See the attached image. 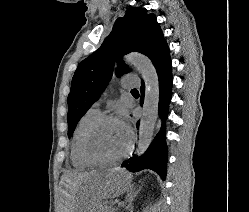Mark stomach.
I'll return each instance as SVG.
<instances>
[{
    "instance_id": "1",
    "label": "stomach",
    "mask_w": 249,
    "mask_h": 212,
    "mask_svg": "<svg viewBox=\"0 0 249 212\" xmlns=\"http://www.w3.org/2000/svg\"><path fill=\"white\" fill-rule=\"evenodd\" d=\"M126 184L128 175H121V170H100V175L83 179L77 194V212H96L99 204H105V199L98 198H119V193H128Z\"/></svg>"
}]
</instances>
